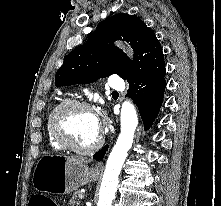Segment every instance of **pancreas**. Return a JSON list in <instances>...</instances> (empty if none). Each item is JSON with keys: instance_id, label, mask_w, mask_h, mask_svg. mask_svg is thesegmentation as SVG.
<instances>
[{"instance_id": "obj_1", "label": "pancreas", "mask_w": 221, "mask_h": 206, "mask_svg": "<svg viewBox=\"0 0 221 206\" xmlns=\"http://www.w3.org/2000/svg\"><path fill=\"white\" fill-rule=\"evenodd\" d=\"M80 195H81V193L79 191H76L73 194L72 198L70 199V204H72V206H74L75 204H77V205L79 204L78 198Z\"/></svg>"}]
</instances>
